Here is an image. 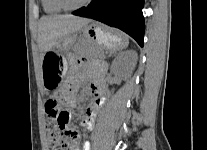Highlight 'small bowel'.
<instances>
[{"mask_svg":"<svg viewBox=\"0 0 207 150\" xmlns=\"http://www.w3.org/2000/svg\"><path fill=\"white\" fill-rule=\"evenodd\" d=\"M101 70V65L98 63H92L90 72L97 73ZM82 77H71L69 79V88L70 93L64 95L63 99L67 102L70 107H74L76 105V97L73 92L76 91L79 87V82ZM91 91L93 93V100L87 107L86 115L82 121V126L86 129H93L95 119L99 110L101 109L106 95V87L100 83L99 81H94L91 84ZM78 137L74 133L70 139V144L72 150H77ZM92 140H83L82 150H91Z\"/></svg>","mask_w":207,"mask_h":150,"instance_id":"c3829d8e","label":"small bowel"}]
</instances>
